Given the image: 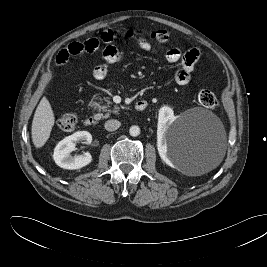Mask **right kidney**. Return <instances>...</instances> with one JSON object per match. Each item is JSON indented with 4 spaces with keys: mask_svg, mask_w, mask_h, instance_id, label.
Masks as SVG:
<instances>
[{
    "mask_svg": "<svg viewBox=\"0 0 267 267\" xmlns=\"http://www.w3.org/2000/svg\"><path fill=\"white\" fill-rule=\"evenodd\" d=\"M79 141L90 144L92 136L87 131H78L65 137L57 144L54 149L53 159L59 167L69 170L80 169L92 161V156L88 152L82 155H71V152L76 149V142Z\"/></svg>",
    "mask_w": 267,
    "mask_h": 267,
    "instance_id": "ca27d5eb",
    "label": "right kidney"
}]
</instances>
